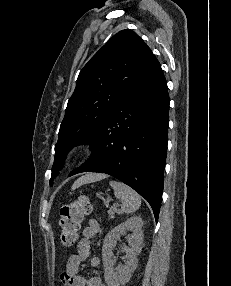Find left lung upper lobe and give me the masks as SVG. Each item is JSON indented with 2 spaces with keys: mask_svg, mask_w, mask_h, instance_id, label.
I'll return each mask as SVG.
<instances>
[{
  "mask_svg": "<svg viewBox=\"0 0 231 286\" xmlns=\"http://www.w3.org/2000/svg\"><path fill=\"white\" fill-rule=\"evenodd\" d=\"M158 63L144 41L128 29L115 34L90 59L79 73L60 125L50 184L69 150L89 143L118 102Z\"/></svg>",
  "mask_w": 231,
  "mask_h": 286,
  "instance_id": "5c2ea615",
  "label": "left lung upper lobe"
}]
</instances>
